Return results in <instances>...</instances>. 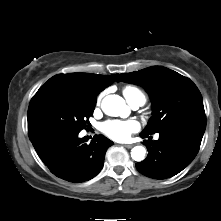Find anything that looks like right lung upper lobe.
Returning <instances> with one entry per match:
<instances>
[{
  "mask_svg": "<svg viewBox=\"0 0 221 221\" xmlns=\"http://www.w3.org/2000/svg\"><path fill=\"white\" fill-rule=\"evenodd\" d=\"M118 74L98 75L91 73L59 74L50 78L43 86H64L79 92L81 95L96 99V96L111 85Z\"/></svg>",
  "mask_w": 221,
  "mask_h": 221,
  "instance_id": "right-lung-upper-lobe-1",
  "label": "right lung upper lobe"
}]
</instances>
